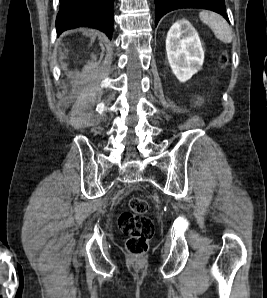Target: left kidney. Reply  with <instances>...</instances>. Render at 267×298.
Returning <instances> with one entry per match:
<instances>
[{
	"mask_svg": "<svg viewBox=\"0 0 267 298\" xmlns=\"http://www.w3.org/2000/svg\"><path fill=\"white\" fill-rule=\"evenodd\" d=\"M166 53L172 72L188 81L203 65L204 51L197 31L186 19L174 23L167 33Z\"/></svg>",
	"mask_w": 267,
	"mask_h": 298,
	"instance_id": "5707ae66",
	"label": "left kidney"
}]
</instances>
